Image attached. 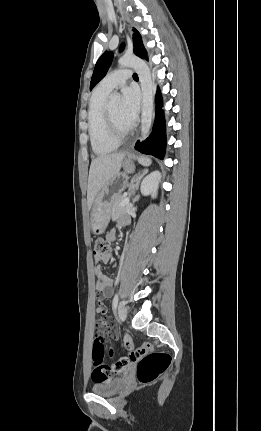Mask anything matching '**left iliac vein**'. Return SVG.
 I'll return each instance as SVG.
<instances>
[{
	"instance_id": "left-iliac-vein-1",
	"label": "left iliac vein",
	"mask_w": 261,
	"mask_h": 431,
	"mask_svg": "<svg viewBox=\"0 0 261 431\" xmlns=\"http://www.w3.org/2000/svg\"><path fill=\"white\" fill-rule=\"evenodd\" d=\"M127 313H128V310H127V307H126L125 303L121 302L119 304V306H118V315H119V318L122 321H124L126 319V317H127Z\"/></svg>"
}]
</instances>
